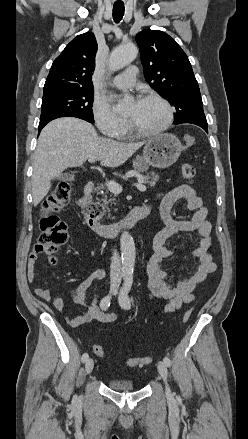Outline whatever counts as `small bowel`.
I'll use <instances>...</instances> for the list:
<instances>
[{"label":"small bowel","instance_id":"small-bowel-1","mask_svg":"<svg viewBox=\"0 0 248 439\" xmlns=\"http://www.w3.org/2000/svg\"><path fill=\"white\" fill-rule=\"evenodd\" d=\"M160 200V213L165 227L160 230L153 241L154 254L146 262V272L149 276L148 287L151 300L166 299L168 304L163 308V313L178 311L185 304L195 299L194 290L207 276L216 270V264L209 251L211 246L212 225L207 219L208 210L203 205L202 199L189 185H179L172 190L157 196ZM181 199L186 202L187 209L193 211L190 219L177 220L172 216V208ZM149 209L150 207L146 205ZM185 235L198 241V245L190 252V256L197 260V268L185 279L171 283L169 273L163 268V262L175 255V252L166 247L168 239ZM38 253L32 251L27 265V278L29 282L35 281V265ZM105 270L97 269L71 290V297L80 305L84 312L77 317L67 318L71 327H79L92 321L100 323H113L117 316L100 310L95 293L97 284L104 279ZM93 291L90 301L87 300L86 291ZM35 294L50 303L57 311L64 310L62 299L54 295L50 289L36 287Z\"/></svg>","mask_w":248,"mask_h":439}]
</instances>
